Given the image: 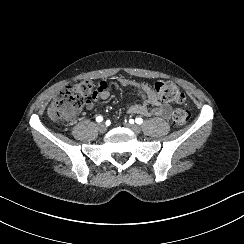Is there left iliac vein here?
Here are the masks:
<instances>
[{
	"label": "left iliac vein",
	"instance_id": "obj_1",
	"mask_svg": "<svg viewBox=\"0 0 244 244\" xmlns=\"http://www.w3.org/2000/svg\"><path fill=\"white\" fill-rule=\"evenodd\" d=\"M124 125L130 130H132L135 134H139L141 131L140 127L136 124H129L125 122Z\"/></svg>",
	"mask_w": 244,
	"mask_h": 244
}]
</instances>
